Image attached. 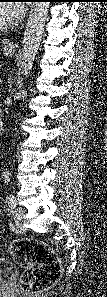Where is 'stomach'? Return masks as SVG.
I'll use <instances>...</instances> for the list:
<instances>
[{
	"mask_svg": "<svg viewBox=\"0 0 107 297\" xmlns=\"http://www.w3.org/2000/svg\"><path fill=\"white\" fill-rule=\"evenodd\" d=\"M15 49H8V48H4L3 49V53L6 57H13L15 55Z\"/></svg>",
	"mask_w": 107,
	"mask_h": 297,
	"instance_id": "1",
	"label": "stomach"
}]
</instances>
